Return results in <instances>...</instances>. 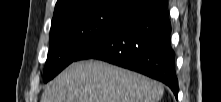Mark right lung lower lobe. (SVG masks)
Instances as JSON below:
<instances>
[{
	"instance_id": "98d812e1",
	"label": "right lung lower lobe",
	"mask_w": 221,
	"mask_h": 102,
	"mask_svg": "<svg viewBox=\"0 0 221 102\" xmlns=\"http://www.w3.org/2000/svg\"><path fill=\"white\" fill-rule=\"evenodd\" d=\"M167 0H151L89 47L78 60L99 59L166 84L178 96Z\"/></svg>"
}]
</instances>
